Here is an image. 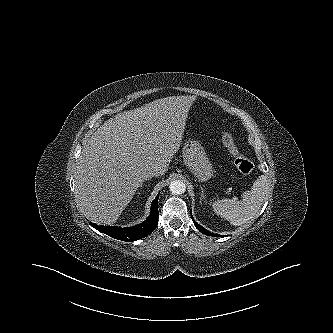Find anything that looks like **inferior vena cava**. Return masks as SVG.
Returning <instances> with one entry per match:
<instances>
[{
    "mask_svg": "<svg viewBox=\"0 0 333 333\" xmlns=\"http://www.w3.org/2000/svg\"><path fill=\"white\" fill-rule=\"evenodd\" d=\"M160 175H161V171L158 168H153L148 172L147 177L150 178V177L160 176Z\"/></svg>",
    "mask_w": 333,
    "mask_h": 333,
    "instance_id": "inferior-vena-cava-1",
    "label": "inferior vena cava"
}]
</instances>
